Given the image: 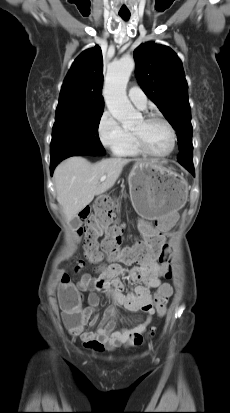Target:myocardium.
Listing matches in <instances>:
<instances>
[{
    "label": "myocardium",
    "mask_w": 230,
    "mask_h": 413,
    "mask_svg": "<svg viewBox=\"0 0 230 413\" xmlns=\"http://www.w3.org/2000/svg\"><path fill=\"white\" fill-rule=\"evenodd\" d=\"M154 120H158V121L163 122L167 126V128L169 129V132H170V135H171V144H170V147L167 151L161 152V153L156 152V151L152 150L151 148H149V146L145 143L143 138L138 133L133 132V135H134L135 140H136V142H137V144H138V146H139V148L142 152H144L145 154H148L150 156H153V157L164 158V157H167V156L171 155L174 152L175 148H176V143H177L176 130H175L174 126L172 125V123L168 119H166L165 117H163L159 114L152 113V114H149L148 116H146L144 118V121H146V122H150V121H154Z\"/></svg>",
    "instance_id": "obj_1"
}]
</instances>
